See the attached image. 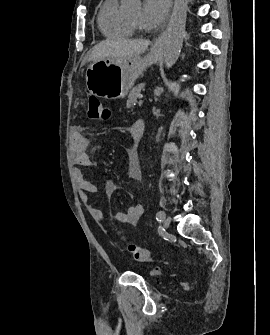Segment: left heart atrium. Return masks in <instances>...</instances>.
Masks as SVG:
<instances>
[{"label":"left heart atrium","instance_id":"39dd6f15","mask_svg":"<svg viewBox=\"0 0 270 335\" xmlns=\"http://www.w3.org/2000/svg\"><path fill=\"white\" fill-rule=\"evenodd\" d=\"M167 0H146L143 5L140 26L148 37L156 34L162 27L168 14Z\"/></svg>","mask_w":270,"mask_h":335}]
</instances>
